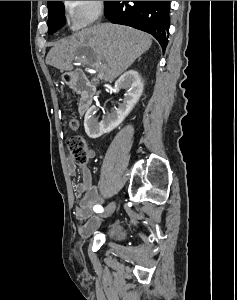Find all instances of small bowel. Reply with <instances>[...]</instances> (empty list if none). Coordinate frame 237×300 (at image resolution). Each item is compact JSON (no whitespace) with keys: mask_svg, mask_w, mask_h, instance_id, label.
<instances>
[{"mask_svg":"<svg viewBox=\"0 0 237 300\" xmlns=\"http://www.w3.org/2000/svg\"><path fill=\"white\" fill-rule=\"evenodd\" d=\"M69 127L71 130L76 131L79 127L78 120L72 119L69 122ZM94 156L95 151L89 149L88 157L93 158ZM67 164L71 174H75L77 170L81 174V181L76 185V191L81 194V199L75 209V216L78 220L84 221L83 224L78 226L80 235L87 236L99 225V219L94 215L93 211L94 207L103 202L104 198L98 188L92 183V175L86 165L77 167L71 160ZM100 187L102 189L115 188L116 183L107 177H102Z\"/></svg>","mask_w":237,"mask_h":300,"instance_id":"obj_1","label":"small bowel"}]
</instances>
